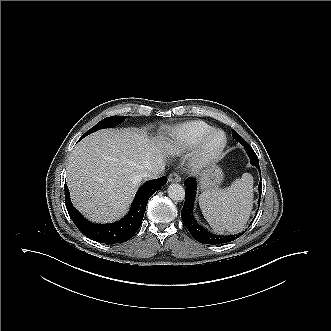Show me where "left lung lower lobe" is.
<instances>
[{"instance_id": "0a47b994", "label": "left lung lower lobe", "mask_w": 331, "mask_h": 331, "mask_svg": "<svg viewBox=\"0 0 331 331\" xmlns=\"http://www.w3.org/2000/svg\"><path fill=\"white\" fill-rule=\"evenodd\" d=\"M233 138H235L237 142L241 143L246 148V151L250 148L248 143L242 137L233 136ZM251 164L256 166V168H258L260 172L259 163H253L251 161ZM184 185L186 186V198L183 209L181 210V217L185 226L187 227L193 238H195L197 241L203 244L218 245L233 241L245 232L243 231L238 235L220 236V235L212 234L207 230H205L203 227H201L194 219L192 213L193 203L196 195V181L195 179L188 178L184 182ZM258 188L259 191L261 192V184H259Z\"/></svg>"}]
</instances>
